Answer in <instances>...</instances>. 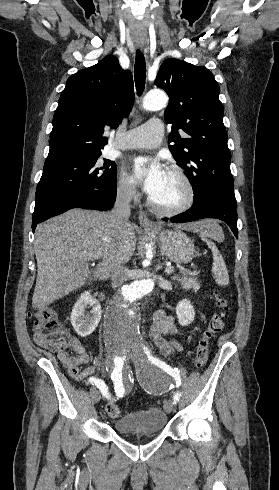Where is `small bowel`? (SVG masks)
Segmentation results:
<instances>
[{"label":"small bowel","mask_w":279,"mask_h":490,"mask_svg":"<svg viewBox=\"0 0 279 490\" xmlns=\"http://www.w3.org/2000/svg\"><path fill=\"white\" fill-rule=\"evenodd\" d=\"M179 328L173 316L166 314L163 310H156L153 314L151 334L157 347L164 355H171L179 348L172 339L167 336L179 334ZM71 348L74 354L61 351L57 353L58 360L65 366L69 375L76 381L89 384L94 376L99 358L95 357L93 365L86 366L90 360L89 354L76 337H72Z\"/></svg>","instance_id":"obj_1"}]
</instances>
